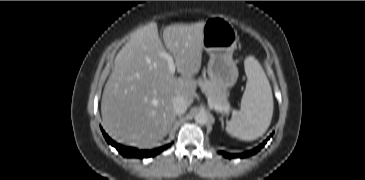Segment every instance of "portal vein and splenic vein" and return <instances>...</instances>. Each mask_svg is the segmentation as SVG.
<instances>
[{
    "label": "portal vein and splenic vein",
    "instance_id": "18ae733b",
    "mask_svg": "<svg viewBox=\"0 0 365 180\" xmlns=\"http://www.w3.org/2000/svg\"><path fill=\"white\" fill-rule=\"evenodd\" d=\"M160 56L163 57L164 59H166L167 63H168V68L169 71L174 74L175 73V63H174V59L172 57V55L168 54L167 52L163 51L160 53ZM210 107L214 108L215 110L218 111H223V112H228V109H222L221 107L217 106V105H213L212 103H210Z\"/></svg>",
    "mask_w": 365,
    "mask_h": 180
}]
</instances>
